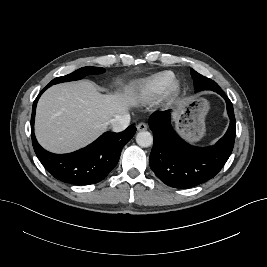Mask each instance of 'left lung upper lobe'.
<instances>
[{"label":"left lung upper lobe","mask_w":267,"mask_h":267,"mask_svg":"<svg viewBox=\"0 0 267 267\" xmlns=\"http://www.w3.org/2000/svg\"><path fill=\"white\" fill-rule=\"evenodd\" d=\"M191 76L194 80V86L197 91L206 89L208 87H210L211 89L220 88L217 83H215L214 81L205 76H202L192 68H191Z\"/></svg>","instance_id":"5c2ea615"}]
</instances>
